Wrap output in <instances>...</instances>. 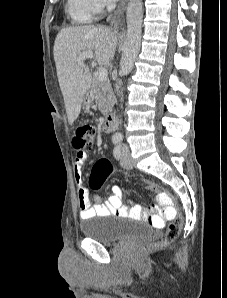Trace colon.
<instances>
[{
    "mask_svg": "<svg viewBox=\"0 0 227 298\" xmlns=\"http://www.w3.org/2000/svg\"><path fill=\"white\" fill-rule=\"evenodd\" d=\"M96 137V128L91 124H82L78 126L72 138V145L75 151L91 149L93 142ZM112 171L111 163L107 159H102L95 163L90 174V187L94 190L99 189L106 181L107 177ZM145 190H150L156 194L154 205V214L149 217V222L155 227H163L165 220H170V223L165 231L164 236L143 247L144 251H151L159 247H163L171 244L175 241L183 226V216L173 206V200L171 196L161 191L159 184L155 182H149L148 185L144 186Z\"/></svg>",
    "mask_w": 227,
    "mask_h": 298,
    "instance_id": "5ec220e1",
    "label": "colon"
}]
</instances>
